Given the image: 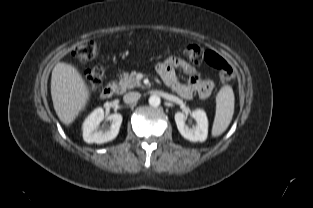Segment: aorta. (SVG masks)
<instances>
[{
  "label": "aorta",
  "instance_id": "762f6f07",
  "mask_svg": "<svg viewBox=\"0 0 313 208\" xmlns=\"http://www.w3.org/2000/svg\"><path fill=\"white\" fill-rule=\"evenodd\" d=\"M161 103V99L157 95H152L149 98V104L153 107H158Z\"/></svg>",
  "mask_w": 313,
  "mask_h": 208
}]
</instances>
